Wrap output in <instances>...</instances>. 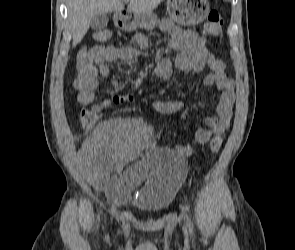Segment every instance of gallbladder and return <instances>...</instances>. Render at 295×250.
Returning a JSON list of instances; mask_svg holds the SVG:
<instances>
[{
    "label": "gallbladder",
    "mask_w": 295,
    "mask_h": 250,
    "mask_svg": "<svg viewBox=\"0 0 295 250\" xmlns=\"http://www.w3.org/2000/svg\"><path fill=\"white\" fill-rule=\"evenodd\" d=\"M108 21L107 14H98L91 19L90 27L93 30H103L107 27Z\"/></svg>",
    "instance_id": "bac80fb5"
}]
</instances>
